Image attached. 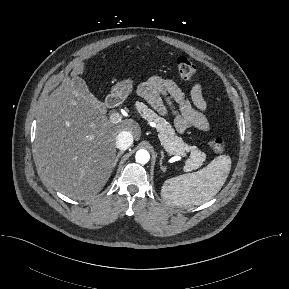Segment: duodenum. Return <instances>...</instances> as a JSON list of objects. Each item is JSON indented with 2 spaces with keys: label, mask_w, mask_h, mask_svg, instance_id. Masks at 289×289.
<instances>
[{
  "label": "duodenum",
  "mask_w": 289,
  "mask_h": 289,
  "mask_svg": "<svg viewBox=\"0 0 289 289\" xmlns=\"http://www.w3.org/2000/svg\"><path fill=\"white\" fill-rule=\"evenodd\" d=\"M121 99L117 95H111L108 97L106 105L109 109H114L120 105Z\"/></svg>",
  "instance_id": "obj_1"
}]
</instances>
